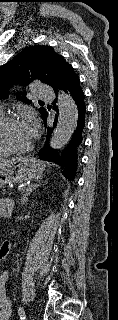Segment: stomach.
<instances>
[{
    "mask_svg": "<svg viewBox=\"0 0 118 320\" xmlns=\"http://www.w3.org/2000/svg\"><path fill=\"white\" fill-rule=\"evenodd\" d=\"M42 162L31 157H16L0 164V188L5 184L39 179L44 172Z\"/></svg>",
    "mask_w": 118,
    "mask_h": 320,
    "instance_id": "1",
    "label": "stomach"
}]
</instances>
